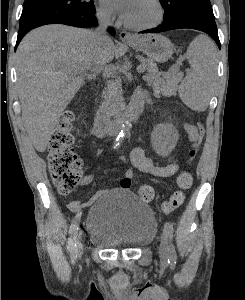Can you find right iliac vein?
Masks as SVG:
<instances>
[{
	"mask_svg": "<svg viewBox=\"0 0 245 300\" xmlns=\"http://www.w3.org/2000/svg\"><path fill=\"white\" fill-rule=\"evenodd\" d=\"M81 240H82V233L79 232L77 235V247H76L78 255L82 254L83 244H82Z\"/></svg>",
	"mask_w": 245,
	"mask_h": 300,
	"instance_id": "63e3f726",
	"label": "right iliac vein"
}]
</instances>
